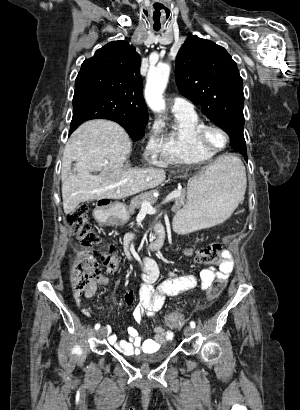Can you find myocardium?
Wrapping results in <instances>:
<instances>
[{"label":"myocardium","instance_id":"1","mask_svg":"<svg viewBox=\"0 0 300 410\" xmlns=\"http://www.w3.org/2000/svg\"><path fill=\"white\" fill-rule=\"evenodd\" d=\"M210 129H217L225 136L226 142H225L224 146H222L220 148H214L209 144V142L207 140V133ZM197 140L199 142V145L203 149H205L207 151H210L214 154H217L219 152L224 151L228 147V145L230 144L231 138H230V135H229L228 131L223 126H221L217 123H205L201 126V128L198 131Z\"/></svg>","mask_w":300,"mask_h":410}]
</instances>
